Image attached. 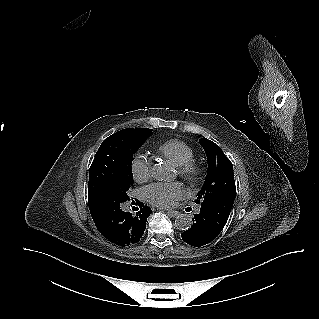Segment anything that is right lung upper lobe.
I'll list each match as a JSON object with an SVG mask.
<instances>
[{"label":"right lung upper lobe","mask_w":319,"mask_h":319,"mask_svg":"<svg viewBox=\"0 0 319 319\" xmlns=\"http://www.w3.org/2000/svg\"><path fill=\"white\" fill-rule=\"evenodd\" d=\"M129 129H132V128H129ZM145 129H146V128H142V129H132V130H133L134 132H137V133H143Z\"/></svg>","instance_id":"1"}]
</instances>
